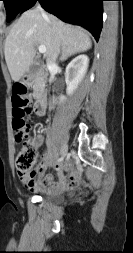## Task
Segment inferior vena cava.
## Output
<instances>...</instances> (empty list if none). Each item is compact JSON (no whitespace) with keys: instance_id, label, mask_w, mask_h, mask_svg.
<instances>
[{"instance_id":"1","label":"inferior vena cava","mask_w":133,"mask_h":253,"mask_svg":"<svg viewBox=\"0 0 133 253\" xmlns=\"http://www.w3.org/2000/svg\"><path fill=\"white\" fill-rule=\"evenodd\" d=\"M37 9L41 12V14L44 18L48 19V15L44 12V10L40 6V4H37ZM58 53H59V47H58V45H56L55 51L51 56V60L49 61L51 64H55Z\"/></svg>"}]
</instances>
